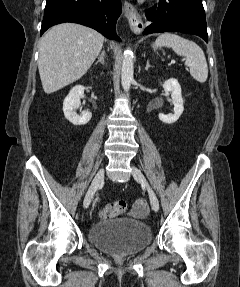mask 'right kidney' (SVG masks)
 <instances>
[{
  "mask_svg": "<svg viewBox=\"0 0 240 287\" xmlns=\"http://www.w3.org/2000/svg\"><path fill=\"white\" fill-rule=\"evenodd\" d=\"M84 90L85 87L81 85L73 87L63 102L64 116L73 125H85L92 118V113L88 110L82 111L80 115L75 112L80 107V98Z\"/></svg>",
  "mask_w": 240,
  "mask_h": 287,
  "instance_id": "1",
  "label": "right kidney"
}]
</instances>
